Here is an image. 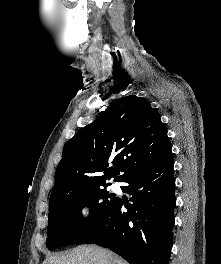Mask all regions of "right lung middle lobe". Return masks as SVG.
<instances>
[{
  "label": "right lung middle lobe",
  "mask_w": 221,
  "mask_h": 264,
  "mask_svg": "<svg viewBox=\"0 0 221 264\" xmlns=\"http://www.w3.org/2000/svg\"><path fill=\"white\" fill-rule=\"evenodd\" d=\"M110 184L68 195L49 210L46 246L52 250L69 243H78L102 221L118 198L106 189ZM90 208L82 219L80 211Z\"/></svg>",
  "instance_id": "obj_1"
}]
</instances>
